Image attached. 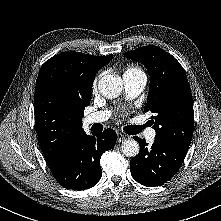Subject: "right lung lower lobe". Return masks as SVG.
<instances>
[{"instance_id":"98d812e1","label":"right lung lower lobe","mask_w":221,"mask_h":221,"mask_svg":"<svg viewBox=\"0 0 221 221\" xmlns=\"http://www.w3.org/2000/svg\"><path fill=\"white\" fill-rule=\"evenodd\" d=\"M116 139V132L112 129H105L96 136L83 132L60 162L50 167L53 176L67 189L93 187L102 176L100 157L115 146Z\"/></svg>"}]
</instances>
